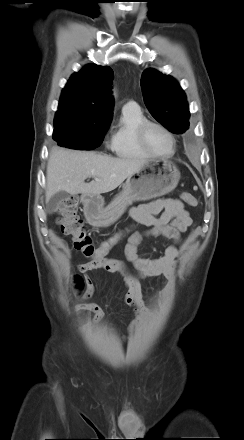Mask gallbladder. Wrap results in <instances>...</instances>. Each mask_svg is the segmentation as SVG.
Listing matches in <instances>:
<instances>
[{"label":"gallbladder","instance_id":"1","mask_svg":"<svg viewBox=\"0 0 244 440\" xmlns=\"http://www.w3.org/2000/svg\"><path fill=\"white\" fill-rule=\"evenodd\" d=\"M68 197V193L65 191H59L54 194L49 201L46 202V211L47 213H53L56 208Z\"/></svg>","mask_w":244,"mask_h":440}]
</instances>
